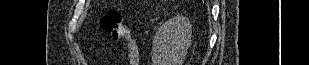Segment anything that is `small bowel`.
I'll list each match as a JSON object with an SVG mask.
<instances>
[{
	"label": "small bowel",
	"mask_w": 309,
	"mask_h": 65,
	"mask_svg": "<svg viewBox=\"0 0 309 65\" xmlns=\"http://www.w3.org/2000/svg\"><path fill=\"white\" fill-rule=\"evenodd\" d=\"M128 57L131 65H139V49L135 39L129 37L128 43Z\"/></svg>",
	"instance_id": "small-bowel-1"
}]
</instances>
